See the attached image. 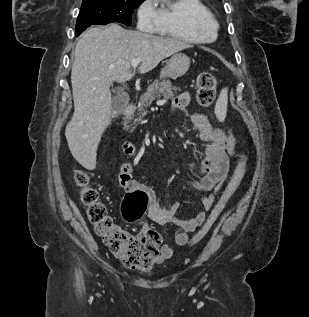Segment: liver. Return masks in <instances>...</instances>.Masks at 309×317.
<instances>
[{"label":"liver","mask_w":309,"mask_h":317,"mask_svg":"<svg viewBox=\"0 0 309 317\" xmlns=\"http://www.w3.org/2000/svg\"><path fill=\"white\" fill-rule=\"evenodd\" d=\"M191 45L178 39L127 30L117 24L91 27L75 47L71 71L74 114L65 136L73 157L86 169L96 167L97 148L111 124L110 86L134 76L131 61L141 59L145 74L160 61Z\"/></svg>","instance_id":"6515ba94"}]
</instances>
